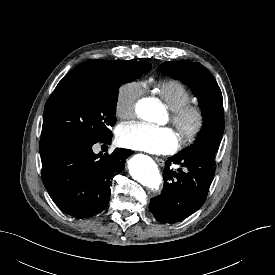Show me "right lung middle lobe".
<instances>
[{"label": "right lung middle lobe", "instance_id": "obj_1", "mask_svg": "<svg viewBox=\"0 0 275 275\" xmlns=\"http://www.w3.org/2000/svg\"><path fill=\"white\" fill-rule=\"evenodd\" d=\"M150 69L146 61H121L109 76L62 79L45 104L40 150L112 138L119 87Z\"/></svg>", "mask_w": 275, "mask_h": 275}]
</instances>
